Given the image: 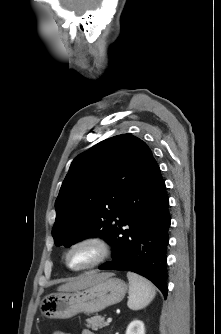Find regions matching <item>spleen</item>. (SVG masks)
I'll list each match as a JSON object with an SVG mask.
<instances>
[{
	"instance_id": "obj_1",
	"label": "spleen",
	"mask_w": 221,
	"mask_h": 334,
	"mask_svg": "<svg viewBox=\"0 0 221 334\" xmlns=\"http://www.w3.org/2000/svg\"><path fill=\"white\" fill-rule=\"evenodd\" d=\"M129 297L127 305L132 310H140L146 307L155 297L154 286L144 277L128 272Z\"/></svg>"
}]
</instances>
